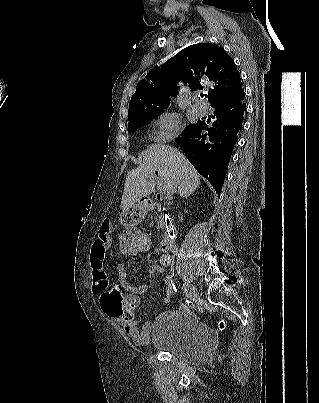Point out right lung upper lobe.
Here are the masks:
<instances>
[{
  "label": "right lung upper lobe",
  "mask_w": 319,
  "mask_h": 403,
  "mask_svg": "<svg viewBox=\"0 0 319 403\" xmlns=\"http://www.w3.org/2000/svg\"><path fill=\"white\" fill-rule=\"evenodd\" d=\"M181 80L192 90L212 86L208 92L211 106L244 94L233 59L219 46L209 43L191 45L150 71L136 88L129 103V122L149 111L169 105Z\"/></svg>",
  "instance_id": "right-lung-upper-lobe-1"
}]
</instances>
